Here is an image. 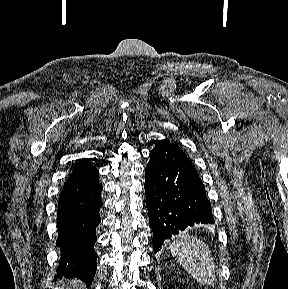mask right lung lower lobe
Here are the masks:
<instances>
[{
	"instance_id": "right-lung-lower-lobe-1",
	"label": "right lung lower lobe",
	"mask_w": 288,
	"mask_h": 289,
	"mask_svg": "<svg viewBox=\"0 0 288 289\" xmlns=\"http://www.w3.org/2000/svg\"><path fill=\"white\" fill-rule=\"evenodd\" d=\"M101 191L99 172L89 160L80 162L65 182L57 212L56 244L62 252L57 277L71 275L92 282L97 267L93 246L101 221Z\"/></svg>"
}]
</instances>
